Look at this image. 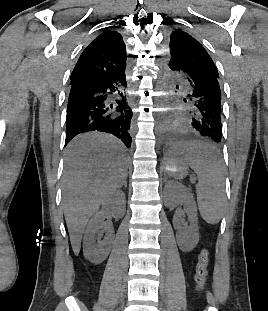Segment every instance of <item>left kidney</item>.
<instances>
[{
    "label": "left kidney",
    "instance_id": "5707ae66",
    "mask_svg": "<svg viewBox=\"0 0 268 311\" xmlns=\"http://www.w3.org/2000/svg\"><path fill=\"white\" fill-rule=\"evenodd\" d=\"M165 205L175 208L183 204L190 225L184 224L177 233V243L184 252L192 251L199 242V229L197 225V213L192 194L180 183L169 181L165 185ZM180 222V219H176Z\"/></svg>",
    "mask_w": 268,
    "mask_h": 311
}]
</instances>
